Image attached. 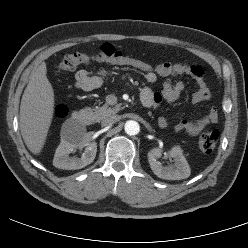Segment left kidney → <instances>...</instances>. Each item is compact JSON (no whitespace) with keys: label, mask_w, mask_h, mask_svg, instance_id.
I'll return each mask as SVG.
<instances>
[{"label":"left kidney","mask_w":248,"mask_h":248,"mask_svg":"<svg viewBox=\"0 0 248 248\" xmlns=\"http://www.w3.org/2000/svg\"><path fill=\"white\" fill-rule=\"evenodd\" d=\"M161 153L162 151L159 148H153L148 153L150 167L156 176L166 180H181L190 176L189 164L179 146H175L169 151V156L174 159V165L172 166L164 167L157 161V158L162 155Z\"/></svg>","instance_id":"left-kidney-1"}]
</instances>
